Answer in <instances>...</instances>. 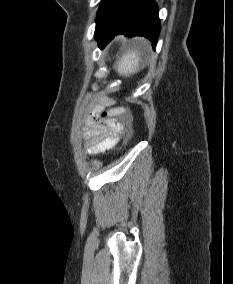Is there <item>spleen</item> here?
Listing matches in <instances>:
<instances>
[{
    "mask_svg": "<svg viewBox=\"0 0 233 284\" xmlns=\"http://www.w3.org/2000/svg\"><path fill=\"white\" fill-rule=\"evenodd\" d=\"M139 61L137 51H127L119 60L116 70L120 75L129 76L139 71Z\"/></svg>",
    "mask_w": 233,
    "mask_h": 284,
    "instance_id": "3e777b00",
    "label": "spleen"
}]
</instances>
